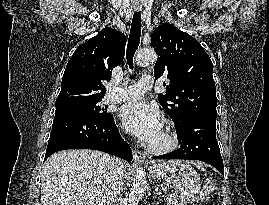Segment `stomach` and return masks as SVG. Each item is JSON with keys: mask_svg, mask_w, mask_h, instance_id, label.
Masks as SVG:
<instances>
[{"mask_svg": "<svg viewBox=\"0 0 269 205\" xmlns=\"http://www.w3.org/2000/svg\"><path fill=\"white\" fill-rule=\"evenodd\" d=\"M149 172L152 178L173 188L185 205L202 195L200 177L186 161L162 162L151 166Z\"/></svg>", "mask_w": 269, "mask_h": 205, "instance_id": "0dacf381", "label": "stomach"}]
</instances>
